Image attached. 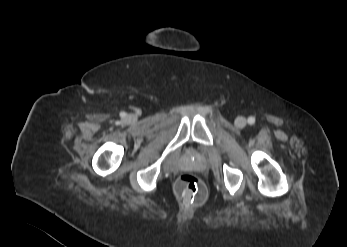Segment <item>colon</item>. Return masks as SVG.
Returning <instances> with one entry per match:
<instances>
[{
	"instance_id": "1",
	"label": "colon",
	"mask_w": 347,
	"mask_h": 247,
	"mask_svg": "<svg viewBox=\"0 0 347 247\" xmlns=\"http://www.w3.org/2000/svg\"><path fill=\"white\" fill-rule=\"evenodd\" d=\"M175 189L182 202L201 204L206 198L203 182L193 174H184L176 182Z\"/></svg>"
}]
</instances>
